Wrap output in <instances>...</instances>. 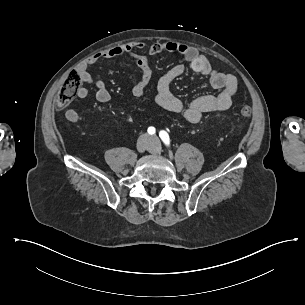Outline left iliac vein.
<instances>
[{
    "label": "left iliac vein",
    "mask_w": 305,
    "mask_h": 305,
    "mask_svg": "<svg viewBox=\"0 0 305 305\" xmlns=\"http://www.w3.org/2000/svg\"><path fill=\"white\" fill-rule=\"evenodd\" d=\"M152 139H153V141L158 142V139H157L156 136H153ZM157 146H158V144H157ZM156 151H157V150H156Z\"/></svg>",
    "instance_id": "4c4485c4"
}]
</instances>
